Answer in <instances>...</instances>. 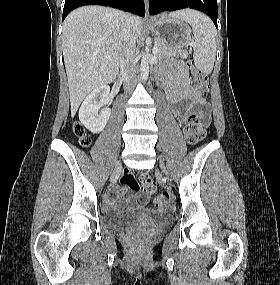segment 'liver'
I'll list each match as a JSON object with an SVG mask.
<instances>
[{"instance_id": "6515ba94", "label": "liver", "mask_w": 280, "mask_h": 285, "mask_svg": "<svg viewBox=\"0 0 280 285\" xmlns=\"http://www.w3.org/2000/svg\"><path fill=\"white\" fill-rule=\"evenodd\" d=\"M124 15L111 8L84 6L66 17L62 47L72 117L92 90L115 80L123 47ZM142 26L141 18L134 16L136 38Z\"/></svg>"}]
</instances>
